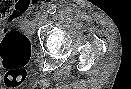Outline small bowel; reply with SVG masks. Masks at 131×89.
Here are the masks:
<instances>
[{
    "label": "small bowel",
    "mask_w": 131,
    "mask_h": 89,
    "mask_svg": "<svg viewBox=\"0 0 131 89\" xmlns=\"http://www.w3.org/2000/svg\"><path fill=\"white\" fill-rule=\"evenodd\" d=\"M13 10L14 11L12 13L3 14L2 17H0V29L3 26L7 25L13 19H18L20 15L25 13L27 7L24 4L18 3L15 6H13Z\"/></svg>",
    "instance_id": "c3829d8e"
}]
</instances>
